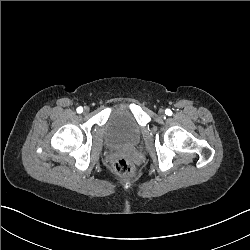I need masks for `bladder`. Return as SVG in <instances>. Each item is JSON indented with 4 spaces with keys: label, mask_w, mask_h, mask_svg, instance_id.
Wrapping results in <instances>:
<instances>
[{
    "label": "bladder",
    "mask_w": 250,
    "mask_h": 250,
    "mask_svg": "<svg viewBox=\"0 0 250 250\" xmlns=\"http://www.w3.org/2000/svg\"><path fill=\"white\" fill-rule=\"evenodd\" d=\"M103 132L104 142L110 149L118 150L137 145L141 138V129L135 110L130 106H110Z\"/></svg>",
    "instance_id": "31cf9c89"
}]
</instances>
